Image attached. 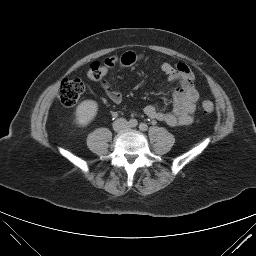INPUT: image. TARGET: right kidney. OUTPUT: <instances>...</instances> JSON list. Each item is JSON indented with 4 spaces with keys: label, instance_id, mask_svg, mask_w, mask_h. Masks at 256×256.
Wrapping results in <instances>:
<instances>
[{
    "label": "right kidney",
    "instance_id": "1",
    "mask_svg": "<svg viewBox=\"0 0 256 256\" xmlns=\"http://www.w3.org/2000/svg\"><path fill=\"white\" fill-rule=\"evenodd\" d=\"M98 104L94 100L82 101L75 110V123L86 127L97 115Z\"/></svg>",
    "mask_w": 256,
    "mask_h": 256
}]
</instances>
